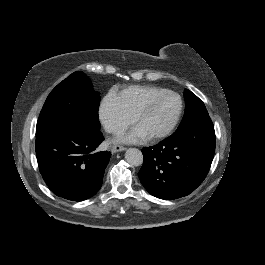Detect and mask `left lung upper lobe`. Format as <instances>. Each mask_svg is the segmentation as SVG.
<instances>
[{"instance_id": "left-lung-upper-lobe-1", "label": "left lung upper lobe", "mask_w": 265, "mask_h": 265, "mask_svg": "<svg viewBox=\"0 0 265 265\" xmlns=\"http://www.w3.org/2000/svg\"><path fill=\"white\" fill-rule=\"evenodd\" d=\"M186 110L178 128L209 117L204 103L188 89L184 92Z\"/></svg>"}]
</instances>
